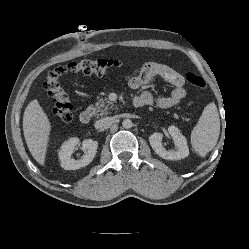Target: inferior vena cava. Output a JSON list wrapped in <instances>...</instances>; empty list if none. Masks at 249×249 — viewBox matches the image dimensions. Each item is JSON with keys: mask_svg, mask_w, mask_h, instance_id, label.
<instances>
[{"mask_svg": "<svg viewBox=\"0 0 249 249\" xmlns=\"http://www.w3.org/2000/svg\"><path fill=\"white\" fill-rule=\"evenodd\" d=\"M110 121H111L110 117L101 118L95 122L94 126L96 129H101L105 127L106 125H108Z\"/></svg>", "mask_w": 249, "mask_h": 249, "instance_id": "1", "label": "inferior vena cava"}]
</instances>
